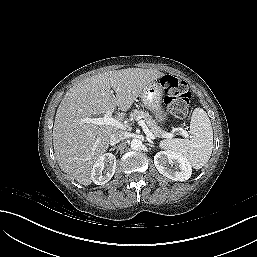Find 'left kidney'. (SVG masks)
Segmentation results:
<instances>
[{"mask_svg":"<svg viewBox=\"0 0 257 257\" xmlns=\"http://www.w3.org/2000/svg\"><path fill=\"white\" fill-rule=\"evenodd\" d=\"M154 164L160 174L174 180L185 181L191 177L190 163L174 151H160L154 156Z\"/></svg>","mask_w":257,"mask_h":257,"instance_id":"5707ae66","label":"left kidney"}]
</instances>
